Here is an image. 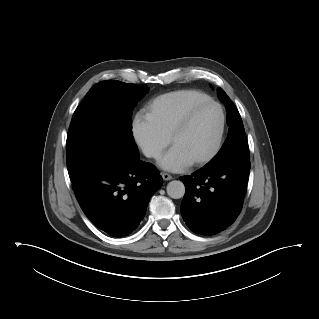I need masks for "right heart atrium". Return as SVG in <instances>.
<instances>
[{"label":"right heart atrium","mask_w":319,"mask_h":319,"mask_svg":"<svg viewBox=\"0 0 319 319\" xmlns=\"http://www.w3.org/2000/svg\"><path fill=\"white\" fill-rule=\"evenodd\" d=\"M132 134L137 145L149 158L159 159L168 144L167 137L142 111L133 118Z\"/></svg>","instance_id":"d8ad5b80"}]
</instances>
